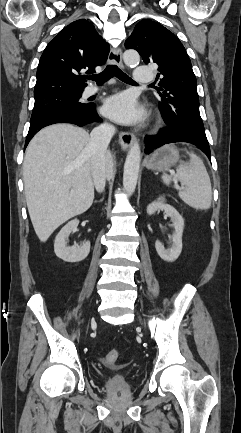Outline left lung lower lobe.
<instances>
[{
    "mask_svg": "<svg viewBox=\"0 0 241 433\" xmlns=\"http://www.w3.org/2000/svg\"><path fill=\"white\" fill-rule=\"evenodd\" d=\"M175 142L191 143L200 148L203 152H205L209 159L211 158L208 141L203 140L183 129L172 126H167L166 128L162 129L157 135L146 136L145 153L149 154L154 149L162 145Z\"/></svg>",
    "mask_w": 241,
    "mask_h": 433,
    "instance_id": "0a47b994",
    "label": "left lung lower lobe"
}]
</instances>
